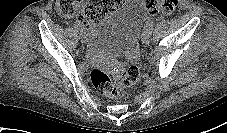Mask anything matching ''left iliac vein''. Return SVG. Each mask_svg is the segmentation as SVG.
I'll use <instances>...</instances> for the list:
<instances>
[{"label":"left iliac vein","instance_id":"obj_1","mask_svg":"<svg viewBox=\"0 0 227 133\" xmlns=\"http://www.w3.org/2000/svg\"><path fill=\"white\" fill-rule=\"evenodd\" d=\"M151 38V31L149 29H145L142 33V42L144 45H148Z\"/></svg>","mask_w":227,"mask_h":133}]
</instances>
